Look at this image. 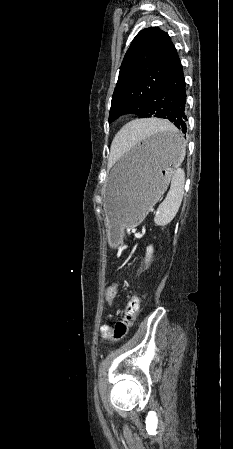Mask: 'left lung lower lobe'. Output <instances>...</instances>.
Segmentation results:
<instances>
[{"mask_svg":"<svg viewBox=\"0 0 233 449\" xmlns=\"http://www.w3.org/2000/svg\"><path fill=\"white\" fill-rule=\"evenodd\" d=\"M185 105V79L182 65L179 63L153 95L145 117L167 119L183 133H186ZM158 140L169 145H176L181 142L182 137L159 136Z\"/></svg>","mask_w":233,"mask_h":449,"instance_id":"0a47b994","label":"left lung lower lobe"}]
</instances>
